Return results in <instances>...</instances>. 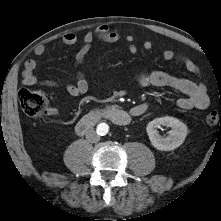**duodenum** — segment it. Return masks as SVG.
Returning a JSON list of instances; mask_svg holds the SVG:
<instances>
[{
	"label": "duodenum",
	"mask_w": 221,
	"mask_h": 221,
	"mask_svg": "<svg viewBox=\"0 0 221 221\" xmlns=\"http://www.w3.org/2000/svg\"><path fill=\"white\" fill-rule=\"evenodd\" d=\"M148 110V106L145 104L135 107V112H126L117 106H111L108 108H102L96 111H92L82 117L75 126V131L79 135H84L92 127H94L100 120L107 119L119 126L128 125L134 116H140Z\"/></svg>",
	"instance_id": "410a0bca"
}]
</instances>
